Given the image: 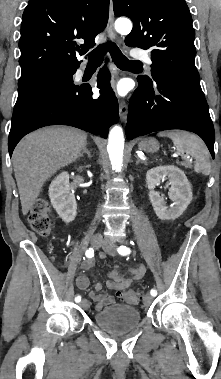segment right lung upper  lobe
Listing matches in <instances>:
<instances>
[{
    "instance_id": "right-lung-upper-lobe-1",
    "label": "right lung upper lobe",
    "mask_w": 221,
    "mask_h": 379,
    "mask_svg": "<svg viewBox=\"0 0 221 379\" xmlns=\"http://www.w3.org/2000/svg\"><path fill=\"white\" fill-rule=\"evenodd\" d=\"M109 0H29L21 23L19 82L55 69H77L104 30ZM84 44L78 46L76 40ZM18 82V83H19Z\"/></svg>"
}]
</instances>
